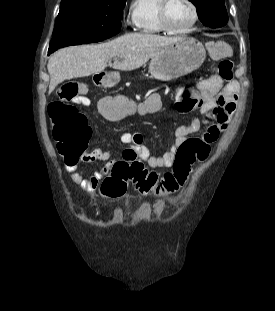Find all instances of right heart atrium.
Here are the masks:
<instances>
[{"mask_svg": "<svg viewBox=\"0 0 275 311\" xmlns=\"http://www.w3.org/2000/svg\"><path fill=\"white\" fill-rule=\"evenodd\" d=\"M126 25H127V26H133V25H134L133 20H127V21H126Z\"/></svg>", "mask_w": 275, "mask_h": 311, "instance_id": "right-heart-atrium-1", "label": "right heart atrium"}]
</instances>
